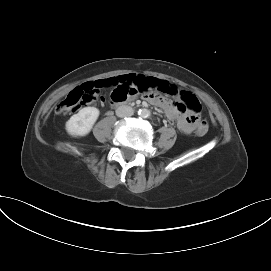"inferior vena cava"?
Returning <instances> with one entry per match:
<instances>
[{
  "instance_id": "602c4592",
  "label": "inferior vena cava",
  "mask_w": 271,
  "mask_h": 271,
  "mask_svg": "<svg viewBox=\"0 0 271 271\" xmlns=\"http://www.w3.org/2000/svg\"><path fill=\"white\" fill-rule=\"evenodd\" d=\"M134 114V110L132 107L130 106H127V105H122V106H119L117 109H116V115L118 117H130Z\"/></svg>"
}]
</instances>
